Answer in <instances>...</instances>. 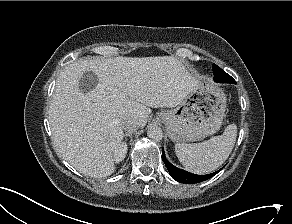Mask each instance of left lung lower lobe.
<instances>
[{
  "label": "left lung lower lobe",
  "instance_id": "obj_1",
  "mask_svg": "<svg viewBox=\"0 0 292 224\" xmlns=\"http://www.w3.org/2000/svg\"><path fill=\"white\" fill-rule=\"evenodd\" d=\"M216 82H221V83H235V80L228 75L226 72L223 71V77L222 78H217ZM162 160L165 163L171 177L175 179L176 181L180 183H186V184H194V183H199L202 181H205L215 174H217L219 171L207 175H196L192 174L190 172H187L185 170L179 169L175 166H173L171 163H169L164 155V151L162 150Z\"/></svg>",
  "mask_w": 292,
  "mask_h": 224
}]
</instances>
